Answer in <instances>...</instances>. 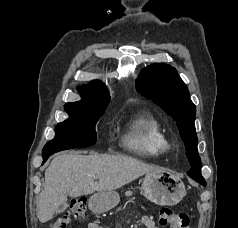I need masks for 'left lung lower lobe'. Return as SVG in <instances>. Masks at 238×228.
Returning <instances> with one entry per match:
<instances>
[{
	"label": "left lung lower lobe",
	"instance_id": "obj_1",
	"mask_svg": "<svg viewBox=\"0 0 238 228\" xmlns=\"http://www.w3.org/2000/svg\"><path fill=\"white\" fill-rule=\"evenodd\" d=\"M188 175V174H187ZM191 178H193V179H195L197 182H199L200 184H202V185H206V182H205V180H204V178L201 176V177H199V176H190Z\"/></svg>",
	"mask_w": 238,
	"mask_h": 228
}]
</instances>
